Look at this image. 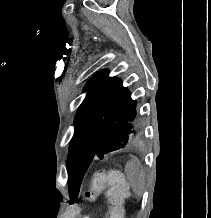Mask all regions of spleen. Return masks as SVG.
Wrapping results in <instances>:
<instances>
[{
    "label": "spleen",
    "instance_id": "obj_1",
    "mask_svg": "<svg viewBox=\"0 0 211 218\" xmlns=\"http://www.w3.org/2000/svg\"><path fill=\"white\" fill-rule=\"evenodd\" d=\"M131 158L132 160L126 164L125 172L133 192L141 198L145 188V174L141 162L135 156H131Z\"/></svg>",
    "mask_w": 211,
    "mask_h": 218
}]
</instances>
